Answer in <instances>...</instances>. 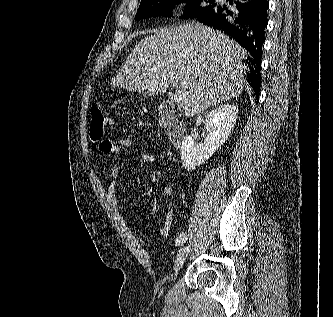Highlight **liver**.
<instances>
[{
	"mask_svg": "<svg viewBox=\"0 0 333 317\" xmlns=\"http://www.w3.org/2000/svg\"><path fill=\"white\" fill-rule=\"evenodd\" d=\"M246 54L225 34L184 23L139 41L111 85L147 95L163 94L173 85L183 93L178 110L194 117L242 93Z\"/></svg>",
	"mask_w": 333,
	"mask_h": 317,
	"instance_id": "6515ba94",
	"label": "liver"
}]
</instances>
